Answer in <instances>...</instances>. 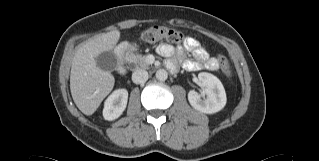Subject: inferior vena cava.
I'll use <instances>...</instances> for the list:
<instances>
[{
    "instance_id": "602c4592",
    "label": "inferior vena cava",
    "mask_w": 319,
    "mask_h": 161,
    "mask_svg": "<svg viewBox=\"0 0 319 161\" xmlns=\"http://www.w3.org/2000/svg\"><path fill=\"white\" fill-rule=\"evenodd\" d=\"M148 80V72L146 70H136L132 74V81L135 84H143Z\"/></svg>"
}]
</instances>
